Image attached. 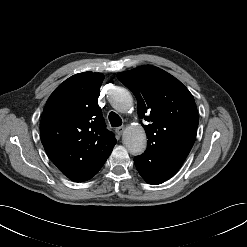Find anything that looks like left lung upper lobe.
<instances>
[{
  "label": "left lung upper lobe",
  "instance_id": "5c2ea615",
  "mask_svg": "<svg viewBox=\"0 0 247 247\" xmlns=\"http://www.w3.org/2000/svg\"><path fill=\"white\" fill-rule=\"evenodd\" d=\"M117 78L135 95L139 117L149 122L144 126L147 150H191L199 118L192 94L179 80L151 65L121 72Z\"/></svg>",
  "mask_w": 247,
  "mask_h": 247
}]
</instances>
